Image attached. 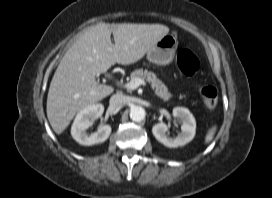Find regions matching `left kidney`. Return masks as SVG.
I'll return each mask as SVG.
<instances>
[{
  "mask_svg": "<svg viewBox=\"0 0 272 198\" xmlns=\"http://www.w3.org/2000/svg\"><path fill=\"white\" fill-rule=\"evenodd\" d=\"M173 116L182 122L181 133H179L176 138L168 137L166 135L168 127L163 122L155 124L152 128L154 137L160 143L170 148L186 145L194 138L196 132L195 118L187 108H174Z\"/></svg>",
  "mask_w": 272,
  "mask_h": 198,
  "instance_id": "5707ae66",
  "label": "left kidney"
}]
</instances>
